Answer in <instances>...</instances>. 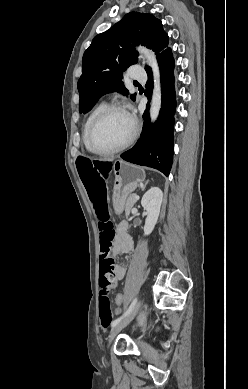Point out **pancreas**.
<instances>
[{"label":"pancreas","mask_w":248,"mask_h":389,"mask_svg":"<svg viewBox=\"0 0 248 389\" xmlns=\"http://www.w3.org/2000/svg\"><path fill=\"white\" fill-rule=\"evenodd\" d=\"M135 201L136 200H135L134 196L133 195H129V197L126 200V204H125V212L126 213L130 212V209L134 205Z\"/></svg>","instance_id":"cf45deb5"}]
</instances>
